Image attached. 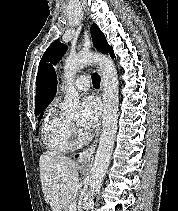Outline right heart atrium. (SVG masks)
<instances>
[{
	"label": "right heart atrium",
	"mask_w": 178,
	"mask_h": 211,
	"mask_svg": "<svg viewBox=\"0 0 178 211\" xmlns=\"http://www.w3.org/2000/svg\"><path fill=\"white\" fill-rule=\"evenodd\" d=\"M72 132V127L69 125V133Z\"/></svg>",
	"instance_id": "d8ad5b80"
}]
</instances>
